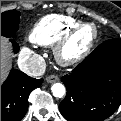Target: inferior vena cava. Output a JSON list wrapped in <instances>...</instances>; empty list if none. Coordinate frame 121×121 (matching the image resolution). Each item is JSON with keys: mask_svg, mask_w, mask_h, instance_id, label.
Instances as JSON below:
<instances>
[{"mask_svg": "<svg viewBox=\"0 0 121 121\" xmlns=\"http://www.w3.org/2000/svg\"><path fill=\"white\" fill-rule=\"evenodd\" d=\"M19 68L28 76L38 77L44 74L46 63L42 56L34 55L29 62L20 63Z\"/></svg>", "mask_w": 121, "mask_h": 121, "instance_id": "602c4592", "label": "inferior vena cava"}]
</instances>
